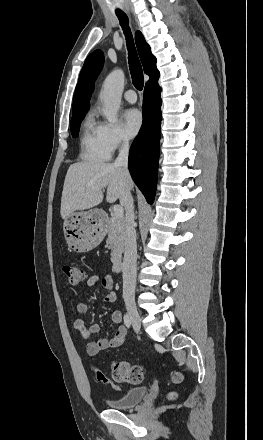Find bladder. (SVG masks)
Masks as SVG:
<instances>
[{
	"label": "bladder",
	"instance_id": "31cf9c89",
	"mask_svg": "<svg viewBox=\"0 0 263 440\" xmlns=\"http://www.w3.org/2000/svg\"><path fill=\"white\" fill-rule=\"evenodd\" d=\"M146 386L130 388L122 396L108 399L107 405L111 409L128 410L141 402L147 394Z\"/></svg>",
	"mask_w": 263,
	"mask_h": 440
}]
</instances>
